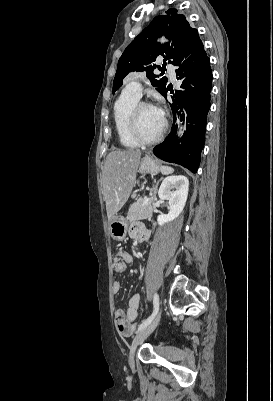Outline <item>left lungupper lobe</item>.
I'll return each instance as SVG.
<instances>
[{"mask_svg": "<svg viewBox=\"0 0 273 401\" xmlns=\"http://www.w3.org/2000/svg\"><path fill=\"white\" fill-rule=\"evenodd\" d=\"M165 35L172 39V44H160L155 39ZM196 29L191 28L182 14L170 9L166 15L156 16L151 23L128 45L119 59L113 81V93L119 89L123 79L132 71H146V76L156 90L163 94L167 86V78L156 79L154 61L158 55L164 61L170 59L174 63L187 49L199 41Z\"/></svg>", "mask_w": 273, "mask_h": 401, "instance_id": "1", "label": "left lung upper lobe"}]
</instances>
